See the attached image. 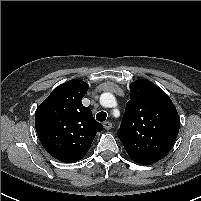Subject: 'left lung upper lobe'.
Returning a JSON list of instances; mask_svg holds the SVG:
<instances>
[{"label": "left lung upper lobe", "instance_id": "5c2ea615", "mask_svg": "<svg viewBox=\"0 0 201 201\" xmlns=\"http://www.w3.org/2000/svg\"><path fill=\"white\" fill-rule=\"evenodd\" d=\"M130 92L118 137L133 161L153 164L174 145L180 118L169 96L152 82L137 80Z\"/></svg>", "mask_w": 201, "mask_h": 201}]
</instances>
